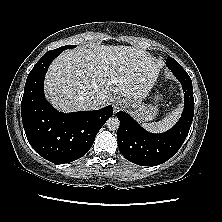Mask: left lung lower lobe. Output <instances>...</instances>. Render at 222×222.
<instances>
[{
  "instance_id": "0a47b994",
  "label": "left lung lower lobe",
  "mask_w": 222,
  "mask_h": 222,
  "mask_svg": "<svg viewBox=\"0 0 222 222\" xmlns=\"http://www.w3.org/2000/svg\"><path fill=\"white\" fill-rule=\"evenodd\" d=\"M180 81L184 93V110L180 120L164 133L154 134L143 129L126 112H117L120 121L117 140L120 153L141 166H156L169 160L184 143L194 115L192 81L180 65L168 67Z\"/></svg>"
}]
</instances>
